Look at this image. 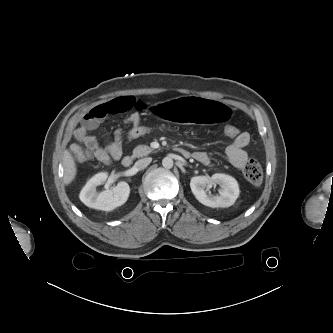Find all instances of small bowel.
Here are the masks:
<instances>
[{
    "mask_svg": "<svg viewBox=\"0 0 333 333\" xmlns=\"http://www.w3.org/2000/svg\"><path fill=\"white\" fill-rule=\"evenodd\" d=\"M144 108L145 104L142 101L130 96L118 97L92 107L82 116L80 126L75 130V138L80 145H75L73 149H81L90 158H95L104 164L120 159L123 155L121 129L116 130L113 139L109 140L105 145L99 144L90 132L96 129L106 117L111 115L130 112V115L126 118V123L139 122V111ZM249 142L250 135L247 132H242L226 148V156L236 168H243L247 162L248 155L245 148ZM192 156L204 165L210 163L209 156L205 152H194Z\"/></svg>",
    "mask_w": 333,
    "mask_h": 333,
    "instance_id": "1",
    "label": "small bowel"
}]
</instances>
